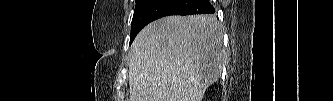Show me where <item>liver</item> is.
<instances>
[{
  "mask_svg": "<svg viewBox=\"0 0 333 101\" xmlns=\"http://www.w3.org/2000/svg\"><path fill=\"white\" fill-rule=\"evenodd\" d=\"M226 53L215 16H168L143 28L129 59L130 101H202Z\"/></svg>",
  "mask_w": 333,
  "mask_h": 101,
  "instance_id": "1",
  "label": "liver"
}]
</instances>
